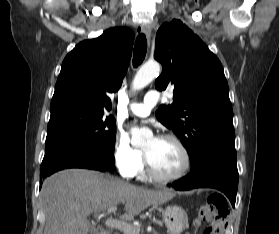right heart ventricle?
<instances>
[{
	"label": "right heart ventricle",
	"instance_id": "e07e8e85",
	"mask_svg": "<svg viewBox=\"0 0 279 234\" xmlns=\"http://www.w3.org/2000/svg\"><path fill=\"white\" fill-rule=\"evenodd\" d=\"M136 174H138V176L140 177V178H143L144 177V161H142V163H141V165H140V167H139V169H138V171H137V173Z\"/></svg>",
	"mask_w": 279,
	"mask_h": 234
}]
</instances>
